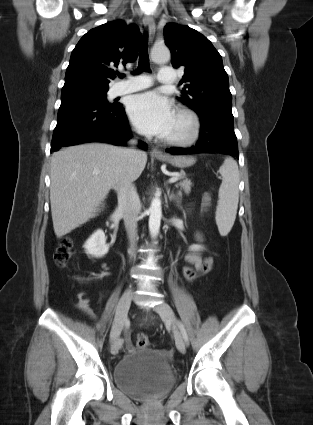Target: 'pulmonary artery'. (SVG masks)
<instances>
[{
	"mask_svg": "<svg viewBox=\"0 0 313 425\" xmlns=\"http://www.w3.org/2000/svg\"><path fill=\"white\" fill-rule=\"evenodd\" d=\"M175 81V71L170 67L160 68L158 72V82L171 84ZM152 85L150 76L145 74L130 76L128 80L116 83L112 86L113 95H122L139 91Z\"/></svg>",
	"mask_w": 313,
	"mask_h": 425,
	"instance_id": "e3ab8cb5",
	"label": "pulmonary artery"
}]
</instances>
